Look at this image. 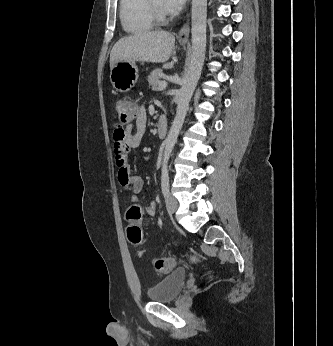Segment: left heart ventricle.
<instances>
[{
  "label": "left heart ventricle",
  "instance_id": "1",
  "mask_svg": "<svg viewBox=\"0 0 333 346\" xmlns=\"http://www.w3.org/2000/svg\"><path fill=\"white\" fill-rule=\"evenodd\" d=\"M155 4L158 6V8L164 12L162 8V1L161 0H154ZM165 13V12H164Z\"/></svg>",
  "mask_w": 333,
  "mask_h": 346
}]
</instances>
